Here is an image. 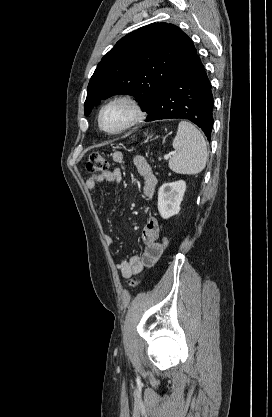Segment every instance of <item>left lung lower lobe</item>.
I'll list each match as a JSON object with an SVG mask.
<instances>
[{"mask_svg":"<svg viewBox=\"0 0 272 417\" xmlns=\"http://www.w3.org/2000/svg\"><path fill=\"white\" fill-rule=\"evenodd\" d=\"M214 101L209 78L197 54L185 63L156 99L146 121L187 119L210 140Z\"/></svg>","mask_w":272,"mask_h":417,"instance_id":"obj_1","label":"left lung lower lobe"}]
</instances>
